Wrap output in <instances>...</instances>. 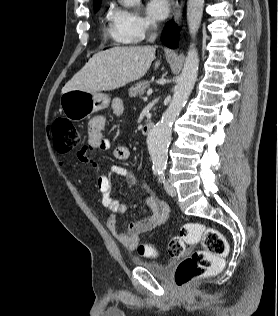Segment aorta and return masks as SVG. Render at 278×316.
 Masks as SVG:
<instances>
[{"label":"aorta","instance_id":"aorta-1","mask_svg":"<svg viewBox=\"0 0 278 316\" xmlns=\"http://www.w3.org/2000/svg\"><path fill=\"white\" fill-rule=\"evenodd\" d=\"M139 1L140 0H121L126 7H132ZM203 5L204 0H188L187 2V23L190 36L193 39L200 27ZM198 68V53L194 44H192L175 87L173 98L163 113L161 120L150 130L147 137L148 151L153 163V169L155 170L163 171L166 168L172 125L192 92L197 79Z\"/></svg>","mask_w":278,"mask_h":316}]
</instances>
